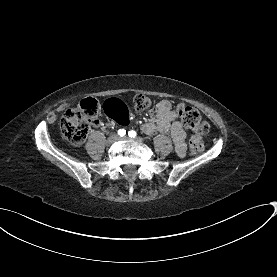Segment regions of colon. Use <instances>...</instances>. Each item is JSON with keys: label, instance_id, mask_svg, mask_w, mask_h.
Segmentation results:
<instances>
[{"label": "colon", "instance_id": "5ec220e1", "mask_svg": "<svg viewBox=\"0 0 277 277\" xmlns=\"http://www.w3.org/2000/svg\"><path fill=\"white\" fill-rule=\"evenodd\" d=\"M93 94L82 100L80 108L67 110L61 117L60 129L62 135L71 143L78 144L85 140L90 124L98 115V106ZM134 106L138 111L149 108L152 105V98L147 95L138 94L133 98ZM177 114L183 125L190 131L189 150L193 154L204 150L205 143L203 136L209 131L208 123L203 120L201 113L191 106L180 104L177 107Z\"/></svg>", "mask_w": 277, "mask_h": 277}]
</instances>
